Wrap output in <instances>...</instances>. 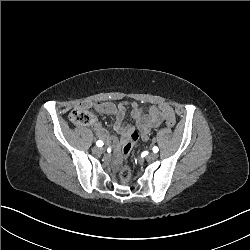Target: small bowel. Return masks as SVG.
Wrapping results in <instances>:
<instances>
[{
    "label": "small bowel",
    "instance_id": "1",
    "mask_svg": "<svg viewBox=\"0 0 250 250\" xmlns=\"http://www.w3.org/2000/svg\"><path fill=\"white\" fill-rule=\"evenodd\" d=\"M76 108L93 109L102 114L115 116L116 120L114 128L118 138L111 135L100 122H95L93 125L97 137L111 147L118 148L130 139L131 133L134 129L125 123L126 105H115L112 103L101 102H81L76 105ZM131 116L136 121L137 131L143 140L149 138L150 132L153 128L163 124V119L166 116H172L175 119L173 109L167 103H160L156 106H152L148 111H144L134 103L132 105Z\"/></svg>",
    "mask_w": 250,
    "mask_h": 250
}]
</instances>
